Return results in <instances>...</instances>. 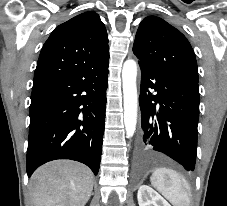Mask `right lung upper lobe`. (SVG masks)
I'll return each mask as SVG.
<instances>
[{"label": "right lung upper lobe", "instance_id": "right-lung-upper-lobe-1", "mask_svg": "<svg viewBox=\"0 0 227 206\" xmlns=\"http://www.w3.org/2000/svg\"><path fill=\"white\" fill-rule=\"evenodd\" d=\"M106 28L98 14L88 11L57 26L43 45L34 83L66 76L108 62Z\"/></svg>", "mask_w": 227, "mask_h": 206}]
</instances>
